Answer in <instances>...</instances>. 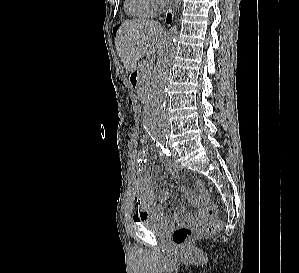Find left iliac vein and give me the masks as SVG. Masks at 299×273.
Here are the masks:
<instances>
[{"label": "left iliac vein", "mask_w": 299, "mask_h": 273, "mask_svg": "<svg viewBox=\"0 0 299 273\" xmlns=\"http://www.w3.org/2000/svg\"><path fill=\"white\" fill-rule=\"evenodd\" d=\"M172 153H173V155H174V156H176V155H177V152H176V150H175V149H173V150H172Z\"/></svg>", "instance_id": "left-iliac-vein-1"}]
</instances>
